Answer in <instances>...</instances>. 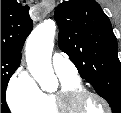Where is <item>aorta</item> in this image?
Segmentation results:
<instances>
[{"mask_svg": "<svg viewBox=\"0 0 121 113\" xmlns=\"http://www.w3.org/2000/svg\"><path fill=\"white\" fill-rule=\"evenodd\" d=\"M55 31V22L51 19L45 20L32 31L26 43L28 69L41 88L48 91L57 86L51 64Z\"/></svg>", "mask_w": 121, "mask_h": 113, "instance_id": "1", "label": "aorta"}]
</instances>
